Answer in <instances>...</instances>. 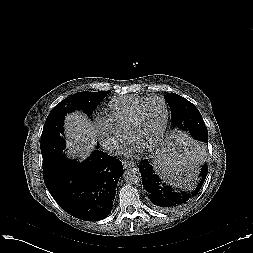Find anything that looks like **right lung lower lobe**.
<instances>
[{"label":"right lung lower lobe","instance_id":"obj_1","mask_svg":"<svg viewBox=\"0 0 253 253\" xmlns=\"http://www.w3.org/2000/svg\"><path fill=\"white\" fill-rule=\"evenodd\" d=\"M122 162L95 150L83 163L58 159L43 165L45 185L67 213L85 221H99L112 210Z\"/></svg>","mask_w":253,"mask_h":253}]
</instances>
